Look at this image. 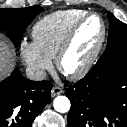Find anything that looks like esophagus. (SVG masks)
I'll list each match as a JSON object with an SVG mask.
<instances>
[{
	"instance_id": "34e87169",
	"label": "esophagus",
	"mask_w": 127,
	"mask_h": 127,
	"mask_svg": "<svg viewBox=\"0 0 127 127\" xmlns=\"http://www.w3.org/2000/svg\"><path fill=\"white\" fill-rule=\"evenodd\" d=\"M61 93H63V89L58 86L53 87L51 90L52 97H54L56 95H60Z\"/></svg>"
}]
</instances>
